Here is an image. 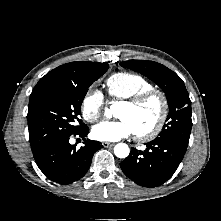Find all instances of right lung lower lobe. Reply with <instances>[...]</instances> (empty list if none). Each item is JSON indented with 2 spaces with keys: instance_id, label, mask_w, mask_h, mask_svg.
Wrapping results in <instances>:
<instances>
[{
  "instance_id": "obj_1",
  "label": "right lung lower lobe",
  "mask_w": 221,
  "mask_h": 221,
  "mask_svg": "<svg viewBox=\"0 0 221 221\" xmlns=\"http://www.w3.org/2000/svg\"><path fill=\"white\" fill-rule=\"evenodd\" d=\"M88 130L86 125L75 134L54 138L32 150L38 167L48 179L67 185L86 174L94 153L102 147L98 141L85 139ZM73 136L81 137L84 146L76 149V145L70 144Z\"/></svg>"
}]
</instances>
